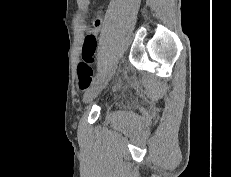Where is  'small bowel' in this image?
I'll list each match as a JSON object with an SVG mask.
<instances>
[{
    "mask_svg": "<svg viewBox=\"0 0 231 177\" xmlns=\"http://www.w3.org/2000/svg\"><path fill=\"white\" fill-rule=\"evenodd\" d=\"M102 17L101 16H97L94 20H93V27L92 28H87L86 26H82V30L84 32H86V36L88 33H92L93 35H97V33L100 30V27L102 25Z\"/></svg>",
    "mask_w": 231,
    "mask_h": 177,
    "instance_id": "c3829d8e",
    "label": "small bowel"
}]
</instances>
